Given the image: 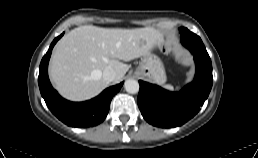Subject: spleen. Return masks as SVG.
I'll return each instance as SVG.
<instances>
[{
  "label": "spleen",
  "mask_w": 258,
  "mask_h": 158,
  "mask_svg": "<svg viewBox=\"0 0 258 158\" xmlns=\"http://www.w3.org/2000/svg\"><path fill=\"white\" fill-rule=\"evenodd\" d=\"M166 89L170 90V91H173L174 90V87L171 86V85H167L165 86ZM176 90H179V88L177 87Z\"/></svg>",
  "instance_id": "1"
}]
</instances>
